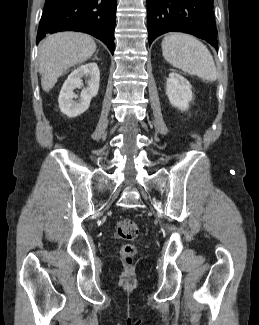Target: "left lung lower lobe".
Listing matches in <instances>:
<instances>
[{
	"mask_svg": "<svg viewBox=\"0 0 259 325\" xmlns=\"http://www.w3.org/2000/svg\"><path fill=\"white\" fill-rule=\"evenodd\" d=\"M149 43L167 32H184L218 49L213 0H147Z\"/></svg>",
	"mask_w": 259,
	"mask_h": 325,
	"instance_id": "0a47b994",
	"label": "left lung lower lobe"
}]
</instances>
